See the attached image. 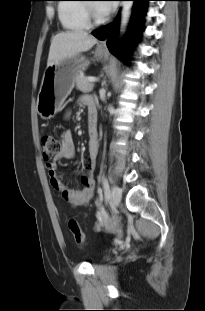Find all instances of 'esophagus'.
Returning a JSON list of instances; mask_svg holds the SVG:
<instances>
[{
	"instance_id": "34e87169",
	"label": "esophagus",
	"mask_w": 205,
	"mask_h": 311,
	"mask_svg": "<svg viewBox=\"0 0 205 311\" xmlns=\"http://www.w3.org/2000/svg\"><path fill=\"white\" fill-rule=\"evenodd\" d=\"M101 48L105 47L106 46V41H102L99 45Z\"/></svg>"
}]
</instances>
